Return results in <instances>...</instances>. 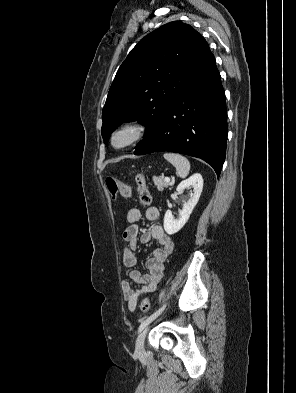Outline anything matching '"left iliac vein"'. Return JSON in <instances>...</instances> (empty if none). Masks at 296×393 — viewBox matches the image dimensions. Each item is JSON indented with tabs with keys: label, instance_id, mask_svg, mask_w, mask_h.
Masks as SVG:
<instances>
[{
	"label": "left iliac vein",
	"instance_id": "4c4485c4",
	"mask_svg": "<svg viewBox=\"0 0 296 393\" xmlns=\"http://www.w3.org/2000/svg\"><path fill=\"white\" fill-rule=\"evenodd\" d=\"M148 329H149L148 327H145L141 331V333L139 334V336L137 338V341H136L135 353L139 357L143 356L144 351H145V349H144V341H145V337H146V334L148 332Z\"/></svg>",
	"mask_w": 296,
	"mask_h": 393
}]
</instances>
